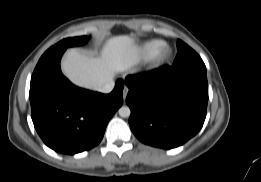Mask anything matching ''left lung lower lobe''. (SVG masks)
<instances>
[{
  "mask_svg": "<svg viewBox=\"0 0 261 182\" xmlns=\"http://www.w3.org/2000/svg\"><path fill=\"white\" fill-rule=\"evenodd\" d=\"M125 83L130 128L144 144L172 149L201 129L208 102L205 66H163L127 76Z\"/></svg>",
  "mask_w": 261,
  "mask_h": 182,
  "instance_id": "left-lung-lower-lobe-1",
  "label": "left lung lower lobe"
}]
</instances>
